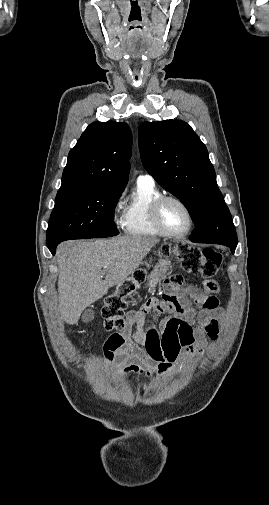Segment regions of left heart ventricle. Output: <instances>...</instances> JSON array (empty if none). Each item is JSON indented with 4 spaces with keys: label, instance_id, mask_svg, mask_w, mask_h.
<instances>
[{
    "label": "left heart ventricle",
    "instance_id": "left-heart-ventricle-1",
    "mask_svg": "<svg viewBox=\"0 0 269 505\" xmlns=\"http://www.w3.org/2000/svg\"><path fill=\"white\" fill-rule=\"evenodd\" d=\"M164 227L173 233H181L188 227V216L184 208L174 201H166L160 212Z\"/></svg>",
    "mask_w": 269,
    "mask_h": 505
}]
</instances>
